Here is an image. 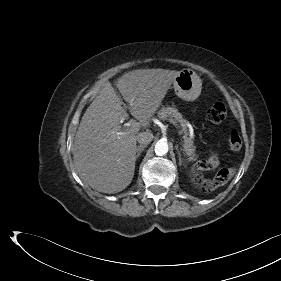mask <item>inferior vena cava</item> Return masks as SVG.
Returning a JSON list of instances; mask_svg holds the SVG:
<instances>
[{
	"mask_svg": "<svg viewBox=\"0 0 281 281\" xmlns=\"http://www.w3.org/2000/svg\"><path fill=\"white\" fill-rule=\"evenodd\" d=\"M153 137L151 131L140 132L137 135V141L140 145L146 146L153 140Z\"/></svg>",
	"mask_w": 281,
	"mask_h": 281,
	"instance_id": "1",
	"label": "inferior vena cava"
}]
</instances>
